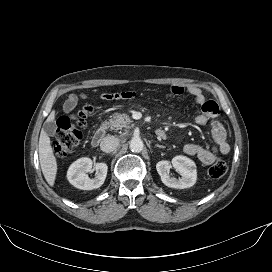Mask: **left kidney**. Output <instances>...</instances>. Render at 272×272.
<instances>
[{
  "label": "left kidney",
  "mask_w": 272,
  "mask_h": 272,
  "mask_svg": "<svg viewBox=\"0 0 272 272\" xmlns=\"http://www.w3.org/2000/svg\"><path fill=\"white\" fill-rule=\"evenodd\" d=\"M171 165L182 176L179 179L169 175ZM156 169L161 177V181L168 187L176 189H185L192 187L197 180V170L195 163L186 156H175L171 162L167 160L159 161Z\"/></svg>",
  "instance_id": "1"
}]
</instances>
